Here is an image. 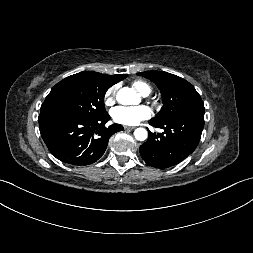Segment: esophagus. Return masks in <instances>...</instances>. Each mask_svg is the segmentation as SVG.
<instances>
[{"label": "esophagus", "mask_w": 253, "mask_h": 253, "mask_svg": "<svg viewBox=\"0 0 253 253\" xmlns=\"http://www.w3.org/2000/svg\"><path fill=\"white\" fill-rule=\"evenodd\" d=\"M135 127H132V126H124V129L125 130H133Z\"/></svg>", "instance_id": "1"}]
</instances>
